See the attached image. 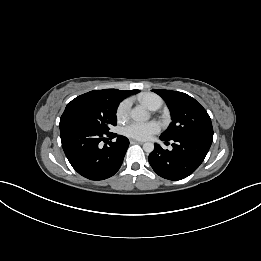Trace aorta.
<instances>
[{"instance_id":"aorta-1","label":"aorta","mask_w":261,"mask_h":261,"mask_svg":"<svg viewBox=\"0 0 261 261\" xmlns=\"http://www.w3.org/2000/svg\"><path fill=\"white\" fill-rule=\"evenodd\" d=\"M130 117L134 121H147L150 115L143 107L136 106L130 111ZM143 149L145 152L151 153L154 150V144L152 142H146L143 145Z\"/></svg>"}]
</instances>
